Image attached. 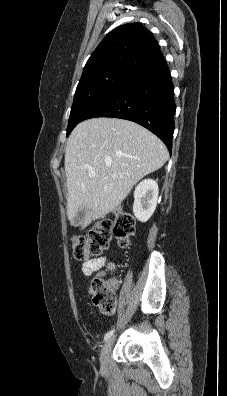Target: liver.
Returning <instances> with one entry per match:
<instances>
[{"mask_svg": "<svg viewBox=\"0 0 227 396\" xmlns=\"http://www.w3.org/2000/svg\"><path fill=\"white\" fill-rule=\"evenodd\" d=\"M167 159L163 142L134 122L102 117L79 123L67 140L64 162L71 224L81 208L86 209L82 229L116 210L133 186Z\"/></svg>", "mask_w": 227, "mask_h": 396, "instance_id": "6515ba94", "label": "liver"}]
</instances>
